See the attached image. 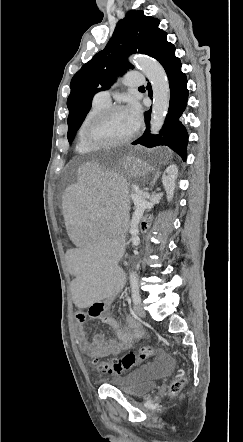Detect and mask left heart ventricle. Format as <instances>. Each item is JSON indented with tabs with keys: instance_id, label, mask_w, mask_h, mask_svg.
Instances as JSON below:
<instances>
[{
	"instance_id": "left-heart-ventricle-1",
	"label": "left heart ventricle",
	"mask_w": 243,
	"mask_h": 442,
	"mask_svg": "<svg viewBox=\"0 0 243 442\" xmlns=\"http://www.w3.org/2000/svg\"><path fill=\"white\" fill-rule=\"evenodd\" d=\"M134 130L126 111L120 110L95 124L91 135L99 142H111L128 137Z\"/></svg>"
}]
</instances>
